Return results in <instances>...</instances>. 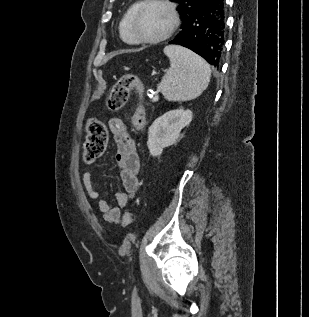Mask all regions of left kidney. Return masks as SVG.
I'll list each match as a JSON object with an SVG mask.
<instances>
[{
    "mask_svg": "<svg viewBox=\"0 0 309 317\" xmlns=\"http://www.w3.org/2000/svg\"><path fill=\"white\" fill-rule=\"evenodd\" d=\"M190 110H171L158 117L148 130L147 146L150 154L159 156L163 149L173 145L180 136L181 130L192 121Z\"/></svg>",
    "mask_w": 309,
    "mask_h": 317,
    "instance_id": "5707ae66",
    "label": "left kidney"
}]
</instances>
